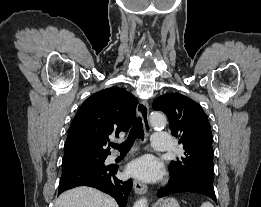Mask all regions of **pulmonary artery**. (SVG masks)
Segmentation results:
<instances>
[{"instance_id": "pulmonary-artery-1", "label": "pulmonary artery", "mask_w": 261, "mask_h": 207, "mask_svg": "<svg viewBox=\"0 0 261 207\" xmlns=\"http://www.w3.org/2000/svg\"><path fill=\"white\" fill-rule=\"evenodd\" d=\"M170 136L166 132H156L152 136V147L158 151H167L170 148ZM115 157L112 156L111 159Z\"/></svg>"}]
</instances>
